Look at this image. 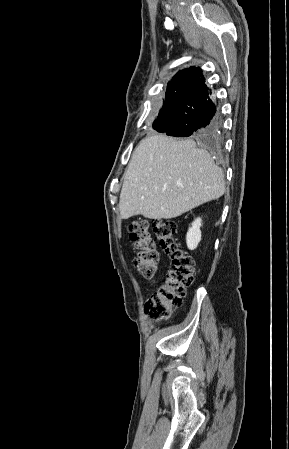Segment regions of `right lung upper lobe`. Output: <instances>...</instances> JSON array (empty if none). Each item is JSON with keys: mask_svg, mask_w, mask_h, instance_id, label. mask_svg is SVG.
Returning a JSON list of instances; mask_svg holds the SVG:
<instances>
[{"mask_svg": "<svg viewBox=\"0 0 289 449\" xmlns=\"http://www.w3.org/2000/svg\"><path fill=\"white\" fill-rule=\"evenodd\" d=\"M182 76H187V77H188V76H191V77H194V78H204V76L202 75V70H201L200 68L190 67L189 69H185V70H182V71L178 72V73L173 77V81H172V82L178 80V79L181 78ZM172 82H170V83L168 84L167 90H168L169 85H170ZM166 93H167V92H166Z\"/></svg>", "mask_w": 289, "mask_h": 449, "instance_id": "right-lung-upper-lobe-1", "label": "right lung upper lobe"}]
</instances>
